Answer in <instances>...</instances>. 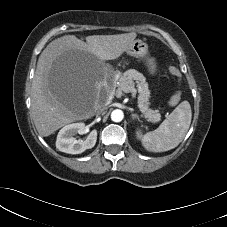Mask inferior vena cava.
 <instances>
[{
  "mask_svg": "<svg viewBox=\"0 0 227 227\" xmlns=\"http://www.w3.org/2000/svg\"><path fill=\"white\" fill-rule=\"evenodd\" d=\"M107 103L105 104H98L95 106V110L97 114L102 113L106 109Z\"/></svg>",
  "mask_w": 227,
  "mask_h": 227,
  "instance_id": "1",
  "label": "inferior vena cava"
}]
</instances>
